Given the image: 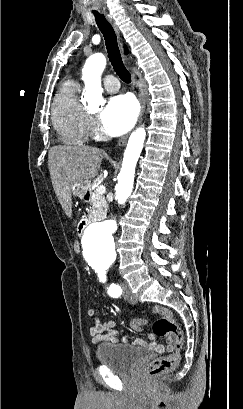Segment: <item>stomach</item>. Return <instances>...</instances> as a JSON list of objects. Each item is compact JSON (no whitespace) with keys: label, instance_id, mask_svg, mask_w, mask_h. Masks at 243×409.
Instances as JSON below:
<instances>
[{"label":"stomach","instance_id":"obj_1","mask_svg":"<svg viewBox=\"0 0 243 409\" xmlns=\"http://www.w3.org/2000/svg\"><path fill=\"white\" fill-rule=\"evenodd\" d=\"M87 190H88L87 185L82 184L80 182L73 183L71 187L72 193L79 198H84L87 193Z\"/></svg>","mask_w":243,"mask_h":409}]
</instances>
